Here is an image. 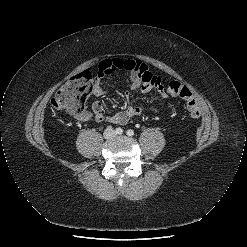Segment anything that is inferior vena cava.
<instances>
[{
  "instance_id": "1",
  "label": "inferior vena cava",
  "mask_w": 247,
  "mask_h": 247,
  "mask_svg": "<svg viewBox=\"0 0 247 247\" xmlns=\"http://www.w3.org/2000/svg\"><path fill=\"white\" fill-rule=\"evenodd\" d=\"M109 133H113V134H114V131H113L112 128L106 129L104 134L107 135V134H109Z\"/></svg>"
}]
</instances>
